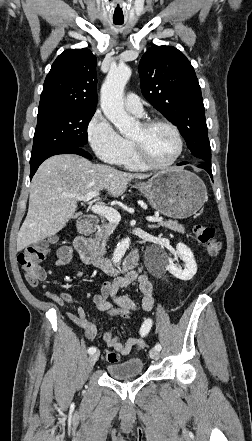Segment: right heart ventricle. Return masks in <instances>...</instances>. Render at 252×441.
<instances>
[{
  "label": "right heart ventricle",
  "mask_w": 252,
  "mask_h": 441,
  "mask_svg": "<svg viewBox=\"0 0 252 441\" xmlns=\"http://www.w3.org/2000/svg\"><path fill=\"white\" fill-rule=\"evenodd\" d=\"M129 142V148L128 151L120 165L125 167L128 170L132 171H143L146 169V167L138 160L133 145L130 141Z\"/></svg>",
  "instance_id": "right-heart-ventricle-1"
}]
</instances>
